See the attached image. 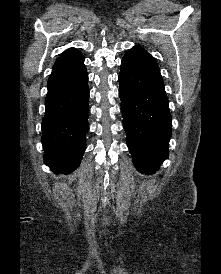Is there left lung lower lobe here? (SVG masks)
<instances>
[{
	"label": "left lung lower lobe",
	"mask_w": 221,
	"mask_h": 274,
	"mask_svg": "<svg viewBox=\"0 0 221 274\" xmlns=\"http://www.w3.org/2000/svg\"><path fill=\"white\" fill-rule=\"evenodd\" d=\"M119 95L133 163L140 172L154 174L168 158L171 115L159 66L139 46L122 59Z\"/></svg>",
	"instance_id": "obj_1"
}]
</instances>
